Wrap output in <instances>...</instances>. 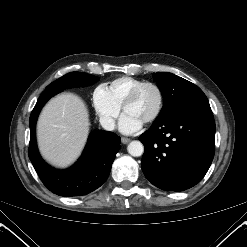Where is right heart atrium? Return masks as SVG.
Wrapping results in <instances>:
<instances>
[{
	"label": "right heart atrium",
	"mask_w": 247,
	"mask_h": 247,
	"mask_svg": "<svg viewBox=\"0 0 247 247\" xmlns=\"http://www.w3.org/2000/svg\"><path fill=\"white\" fill-rule=\"evenodd\" d=\"M93 105L101 124L108 130L115 127V120L119 116L120 106L115 103L108 89L100 85L93 93Z\"/></svg>",
	"instance_id": "d8ad5b80"
}]
</instances>
